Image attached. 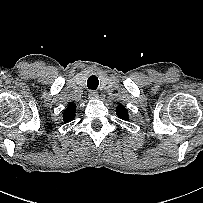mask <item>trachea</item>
Here are the masks:
<instances>
[{
  "instance_id": "1",
  "label": "trachea",
  "mask_w": 203,
  "mask_h": 203,
  "mask_svg": "<svg viewBox=\"0 0 203 203\" xmlns=\"http://www.w3.org/2000/svg\"><path fill=\"white\" fill-rule=\"evenodd\" d=\"M99 85V80L95 75H92L87 80V86L89 89L95 90Z\"/></svg>"
}]
</instances>
